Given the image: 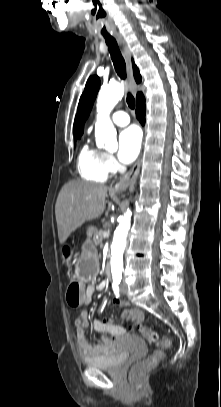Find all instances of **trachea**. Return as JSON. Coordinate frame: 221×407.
<instances>
[{
  "label": "trachea",
  "instance_id": "trachea-1",
  "mask_svg": "<svg viewBox=\"0 0 221 407\" xmlns=\"http://www.w3.org/2000/svg\"><path fill=\"white\" fill-rule=\"evenodd\" d=\"M105 42L108 46L109 53L111 55V59L114 65V68L118 74V76L122 79H126V64L125 60L120 52L118 44L116 40L111 36H106ZM127 104L131 109L135 108V100L132 94L129 92L126 98Z\"/></svg>",
  "mask_w": 221,
  "mask_h": 407
}]
</instances>
